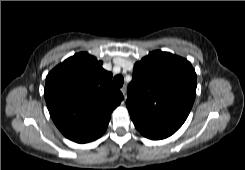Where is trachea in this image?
Instances as JSON below:
<instances>
[{
  "label": "trachea",
  "mask_w": 245,
  "mask_h": 170,
  "mask_svg": "<svg viewBox=\"0 0 245 170\" xmlns=\"http://www.w3.org/2000/svg\"><path fill=\"white\" fill-rule=\"evenodd\" d=\"M124 83V78L122 75H116L113 78V84L115 85V87L120 88L123 86Z\"/></svg>",
  "instance_id": "obj_1"
}]
</instances>
